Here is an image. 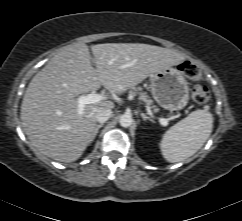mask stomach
I'll return each mask as SVG.
<instances>
[{
	"label": "stomach",
	"instance_id": "obj_1",
	"mask_svg": "<svg viewBox=\"0 0 242 221\" xmlns=\"http://www.w3.org/2000/svg\"><path fill=\"white\" fill-rule=\"evenodd\" d=\"M151 94L164 109H183L189 101V87L184 73L173 67L162 69L151 76Z\"/></svg>",
	"mask_w": 242,
	"mask_h": 221
}]
</instances>
